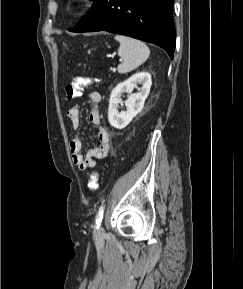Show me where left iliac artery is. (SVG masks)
I'll use <instances>...</instances> for the list:
<instances>
[{
	"label": "left iliac artery",
	"instance_id": "obj_1",
	"mask_svg": "<svg viewBox=\"0 0 243 289\" xmlns=\"http://www.w3.org/2000/svg\"><path fill=\"white\" fill-rule=\"evenodd\" d=\"M104 208H105L104 205H101L99 210H98V213L96 215V221H95L96 228L100 227V224H101V221L103 218V214H104Z\"/></svg>",
	"mask_w": 243,
	"mask_h": 289
}]
</instances>
